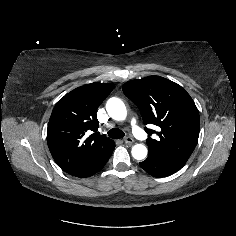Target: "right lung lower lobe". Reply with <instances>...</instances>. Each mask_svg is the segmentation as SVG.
Returning a JSON list of instances; mask_svg holds the SVG:
<instances>
[{
  "instance_id": "obj_1",
  "label": "right lung lower lobe",
  "mask_w": 236,
  "mask_h": 236,
  "mask_svg": "<svg viewBox=\"0 0 236 236\" xmlns=\"http://www.w3.org/2000/svg\"><path fill=\"white\" fill-rule=\"evenodd\" d=\"M114 148L109 151L105 156H103L85 175H83L82 177H89L95 173H97L108 161V159L110 158L112 152H113Z\"/></svg>"
}]
</instances>
